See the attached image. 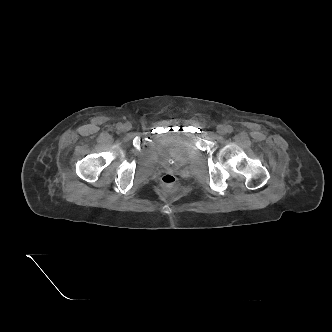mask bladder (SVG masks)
I'll use <instances>...</instances> for the list:
<instances>
[{
	"label": "bladder",
	"mask_w": 332,
	"mask_h": 332,
	"mask_svg": "<svg viewBox=\"0 0 332 332\" xmlns=\"http://www.w3.org/2000/svg\"><path fill=\"white\" fill-rule=\"evenodd\" d=\"M191 147L190 136L184 132H173L160 136L155 143V150L161 160L172 159L182 163Z\"/></svg>",
	"instance_id": "31cf9c89"
}]
</instances>
